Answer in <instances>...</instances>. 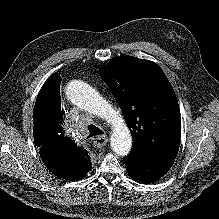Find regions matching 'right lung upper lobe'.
Wrapping results in <instances>:
<instances>
[{
  "mask_svg": "<svg viewBox=\"0 0 219 219\" xmlns=\"http://www.w3.org/2000/svg\"><path fill=\"white\" fill-rule=\"evenodd\" d=\"M60 83V76L53 74L38 94L33 110L34 142L43 163L55 176L78 181L91 170L92 163L88 151L64 134Z\"/></svg>",
  "mask_w": 219,
  "mask_h": 219,
  "instance_id": "cb5924a9",
  "label": "right lung upper lobe"
}]
</instances>
